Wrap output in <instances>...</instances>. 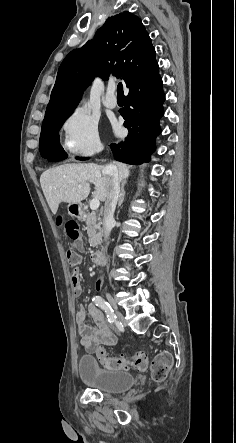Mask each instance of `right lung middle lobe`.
<instances>
[{"label":"right lung middle lobe","mask_w":236,"mask_h":443,"mask_svg":"<svg viewBox=\"0 0 236 443\" xmlns=\"http://www.w3.org/2000/svg\"><path fill=\"white\" fill-rule=\"evenodd\" d=\"M71 113L72 111L64 112L43 121L40 135V151L60 145L58 131Z\"/></svg>","instance_id":"right-lung-middle-lobe-1"}]
</instances>
